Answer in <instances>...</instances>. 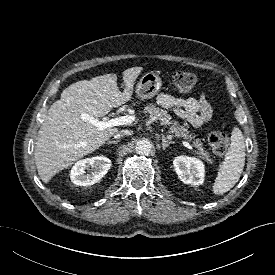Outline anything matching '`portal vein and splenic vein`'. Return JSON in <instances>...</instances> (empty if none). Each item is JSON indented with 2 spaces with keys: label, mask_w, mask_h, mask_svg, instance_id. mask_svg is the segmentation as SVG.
I'll use <instances>...</instances> for the list:
<instances>
[{
  "label": "portal vein and splenic vein",
  "mask_w": 275,
  "mask_h": 275,
  "mask_svg": "<svg viewBox=\"0 0 275 275\" xmlns=\"http://www.w3.org/2000/svg\"><path fill=\"white\" fill-rule=\"evenodd\" d=\"M81 117L84 120H88L98 130H103L114 126L129 125V124H132L136 118L133 115H126V116L115 117L109 120L99 121L98 119L91 117L87 114H82ZM182 144L188 149H191V150L193 149V147L186 141H182Z\"/></svg>",
  "instance_id": "obj_1"
}]
</instances>
